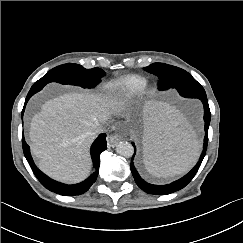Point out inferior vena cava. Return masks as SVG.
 <instances>
[{
  "label": "inferior vena cava",
  "instance_id": "obj_1",
  "mask_svg": "<svg viewBox=\"0 0 243 243\" xmlns=\"http://www.w3.org/2000/svg\"><path fill=\"white\" fill-rule=\"evenodd\" d=\"M105 131V129L102 127V126H99L96 130H95V132H94V134L96 135V134H100V133H103Z\"/></svg>",
  "mask_w": 243,
  "mask_h": 243
}]
</instances>
